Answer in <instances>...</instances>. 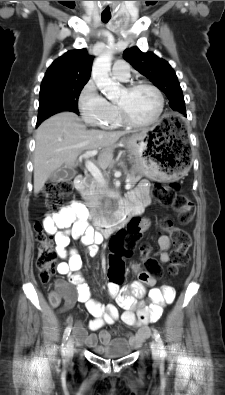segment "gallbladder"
Returning <instances> with one entry per match:
<instances>
[{
  "mask_svg": "<svg viewBox=\"0 0 225 395\" xmlns=\"http://www.w3.org/2000/svg\"><path fill=\"white\" fill-rule=\"evenodd\" d=\"M76 170L70 168L68 166H62L58 170H56L51 176L50 181L57 183L61 181L71 180L76 175Z\"/></svg>",
  "mask_w": 225,
  "mask_h": 395,
  "instance_id": "gallbladder-1",
  "label": "gallbladder"
}]
</instances>
